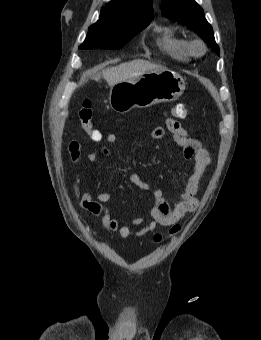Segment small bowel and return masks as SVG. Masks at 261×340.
I'll list each match as a JSON object with an SVG mask.
<instances>
[{"instance_id":"small-bowel-1","label":"small bowel","mask_w":261,"mask_h":340,"mask_svg":"<svg viewBox=\"0 0 261 340\" xmlns=\"http://www.w3.org/2000/svg\"><path fill=\"white\" fill-rule=\"evenodd\" d=\"M166 127L173 134L175 142L183 149L185 158L194 160V169L180 194L179 200L172 205L165 200L161 189L152 188L149 183L142 180L136 173H130L128 175L132 184L143 190L151 191L155 199V203L150 209L152 220L146 224L143 223L142 219H136L134 221V226L137 227L134 233L136 237H142L151 233L159 226L173 225L185 214L194 212L199 204L196 194L199 191L202 177L211 164L209 152L202 147L198 140L190 137L178 121L168 118L166 120ZM164 135L165 129L161 126L154 127L151 130V136L154 139L163 138ZM105 141L107 144H113L117 141V135L110 133L105 137ZM100 152L109 155L108 149L97 148L88 154L87 161L95 164ZM68 153L73 163H79L82 158V148L79 142L75 140L71 141L68 145ZM73 196L76 204L81 209L93 215L101 216L102 226L106 230L118 232L123 239L132 235V227L130 225H121L116 218L109 214L105 206L111 199L109 192H100L96 197L88 191L80 194L78 185L74 183Z\"/></svg>"}]
</instances>
